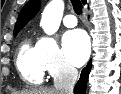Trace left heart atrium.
<instances>
[{
    "mask_svg": "<svg viewBox=\"0 0 121 94\" xmlns=\"http://www.w3.org/2000/svg\"><path fill=\"white\" fill-rule=\"evenodd\" d=\"M63 50L66 58L75 66L83 65L89 56V41L82 30L68 31L63 36Z\"/></svg>",
    "mask_w": 121,
    "mask_h": 94,
    "instance_id": "obj_1",
    "label": "left heart atrium"
}]
</instances>
